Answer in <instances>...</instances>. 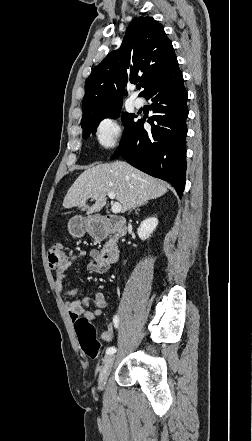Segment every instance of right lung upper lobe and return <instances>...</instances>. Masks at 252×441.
<instances>
[{"mask_svg":"<svg viewBox=\"0 0 252 441\" xmlns=\"http://www.w3.org/2000/svg\"><path fill=\"white\" fill-rule=\"evenodd\" d=\"M177 60L163 26L152 17L134 18L121 47L96 66L85 83L81 124L122 106L127 82L143 83L144 96Z\"/></svg>","mask_w":252,"mask_h":441,"instance_id":"1","label":"right lung upper lobe"}]
</instances>
